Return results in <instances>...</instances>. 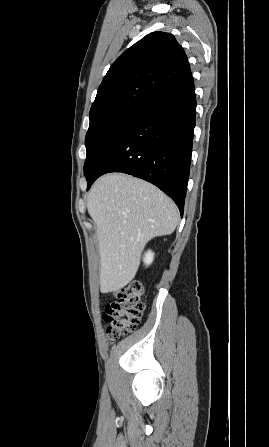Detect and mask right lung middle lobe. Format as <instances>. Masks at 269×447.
Instances as JSON below:
<instances>
[{"mask_svg":"<svg viewBox=\"0 0 269 447\" xmlns=\"http://www.w3.org/2000/svg\"><path fill=\"white\" fill-rule=\"evenodd\" d=\"M141 106H122L90 118V125L86 134L85 176L89 174L96 158L119 133L126 121L138 112Z\"/></svg>","mask_w":269,"mask_h":447,"instance_id":"right-lung-middle-lobe-1","label":"right lung middle lobe"}]
</instances>
